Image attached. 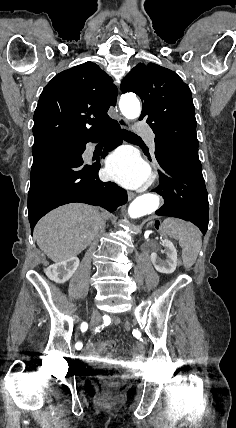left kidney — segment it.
Segmentation results:
<instances>
[{
    "mask_svg": "<svg viewBox=\"0 0 236 428\" xmlns=\"http://www.w3.org/2000/svg\"><path fill=\"white\" fill-rule=\"evenodd\" d=\"M162 246L164 248L162 252L166 254V260H162L156 252H153L151 254V262L157 272H161V274H173L177 266L176 248L170 240H163Z\"/></svg>",
    "mask_w": 236,
    "mask_h": 428,
    "instance_id": "5707ae66",
    "label": "left kidney"
}]
</instances>
